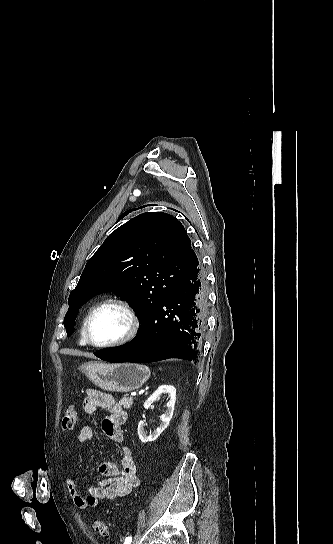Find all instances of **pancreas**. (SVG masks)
<instances>
[{
  "label": "pancreas",
  "mask_w": 333,
  "mask_h": 544,
  "mask_svg": "<svg viewBox=\"0 0 333 544\" xmlns=\"http://www.w3.org/2000/svg\"><path fill=\"white\" fill-rule=\"evenodd\" d=\"M119 404L122 405L125 409H130L133 404V398H128L124 396L120 401Z\"/></svg>",
  "instance_id": "1"
}]
</instances>
